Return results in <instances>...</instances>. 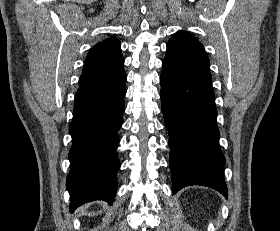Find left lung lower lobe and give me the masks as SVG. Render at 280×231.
<instances>
[{"mask_svg":"<svg viewBox=\"0 0 280 231\" xmlns=\"http://www.w3.org/2000/svg\"><path fill=\"white\" fill-rule=\"evenodd\" d=\"M162 67L160 95L169 131L173 193L203 185L227 197L211 78L177 77Z\"/></svg>","mask_w":280,"mask_h":231,"instance_id":"0a47b994","label":"left lung lower lobe"}]
</instances>
